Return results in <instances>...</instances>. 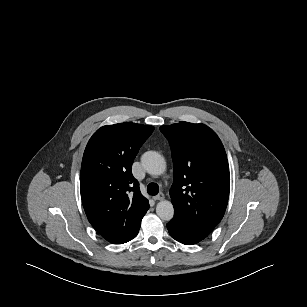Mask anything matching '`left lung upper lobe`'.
I'll use <instances>...</instances> for the list:
<instances>
[{"instance_id":"1","label":"left lung upper lobe","mask_w":307,"mask_h":307,"mask_svg":"<svg viewBox=\"0 0 307 307\" xmlns=\"http://www.w3.org/2000/svg\"><path fill=\"white\" fill-rule=\"evenodd\" d=\"M174 163L170 195L174 217L204 235L224 216L230 190L229 165L221 140L204 124L179 122L160 127Z\"/></svg>"}]
</instances>
